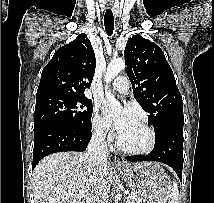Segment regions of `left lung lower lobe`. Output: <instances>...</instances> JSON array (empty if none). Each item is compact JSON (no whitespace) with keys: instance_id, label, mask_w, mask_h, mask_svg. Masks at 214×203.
Wrapping results in <instances>:
<instances>
[{"instance_id":"1","label":"left lung lower lobe","mask_w":214,"mask_h":203,"mask_svg":"<svg viewBox=\"0 0 214 203\" xmlns=\"http://www.w3.org/2000/svg\"><path fill=\"white\" fill-rule=\"evenodd\" d=\"M183 125H173L166 128L155 139L154 149L146 156H131L126 159L131 162L157 161L169 165L182 180L183 168Z\"/></svg>"}]
</instances>
